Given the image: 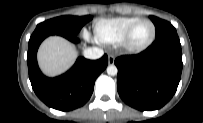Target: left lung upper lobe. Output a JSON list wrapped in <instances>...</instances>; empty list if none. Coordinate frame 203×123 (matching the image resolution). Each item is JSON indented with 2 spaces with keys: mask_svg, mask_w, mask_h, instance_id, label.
Instances as JSON below:
<instances>
[{
  "mask_svg": "<svg viewBox=\"0 0 203 123\" xmlns=\"http://www.w3.org/2000/svg\"><path fill=\"white\" fill-rule=\"evenodd\" d=\"M150 19L152 20L156 28V38L169 32H176V29L171 23L165 20H161L155 16H150Z\"/></svg>",
  "mask_w": 203,
  "mask_h": 123,
  "instance_id": "obj_1",
  "label": "left lung upper lobe"
}]
</instances>
